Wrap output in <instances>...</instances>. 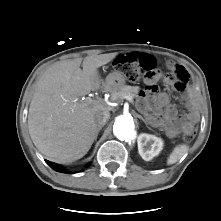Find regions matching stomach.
Returning a JSON list of instances; mask_svg holds the SVG:
<instances>
[{"instance_id":"obj_1","label":"stomach","mask_w":221,"mask_h":221,"mask_svg":"<svg viewBox=\"0 0 221 221\" xmlns=\"http://www.w3.org/2000/svg\"><path fill=\"white\" fill-rule=\"evenodd\" d=\"M105 85L111 92L118 91L125 85V77L119 72H113L107 76Z\"/></svg>"}]
</instances>
